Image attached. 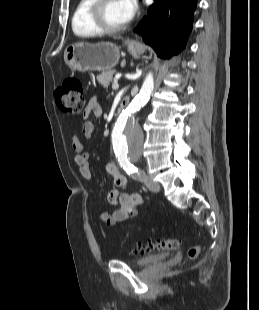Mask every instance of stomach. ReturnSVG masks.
Here are the masks:
<instances>
[{"mask_svg":"<svg viewBox=\"0 0 259 310\" xmlns=\"http://www.w3.org/2000/svg\"><path fill=\"white\" fill-rule=\"evenodd\" d=\"M128 51L139 58L141 49L129 44ZM120 53L117 45L110 42L90 44L78 42L69 45L64 52V61L70 69L80 72L109 71L119 61Z\"/></svg>","mask_w":259,"mask_h":310,"instance_id":"0dacf381","label":"stomach"}]
</instances>
